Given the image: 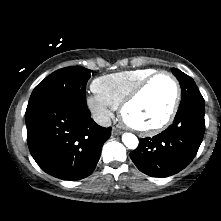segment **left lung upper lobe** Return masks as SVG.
Wrapping results in <instances>:
<instances>
[{
    "label": "left lung upper lobe",
    "mask_w": 221,
    "mask_h": 221,
    "mask_svg": "<svg viewBox=\"0 0 221 221\" xmlns=\"http://www.w3.org/2000/svg\"><path fill=\"white\" fill-rule=\"evenodd\" d=\"M172 72L179 80L182 89V99L179 107H183L189 103H205L194 80L190 76L176 68H172Z\"/></svg>",
    "instance_id": "5c2ea615"
}]
</instances>
